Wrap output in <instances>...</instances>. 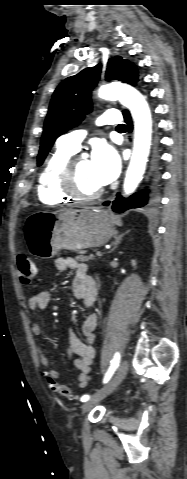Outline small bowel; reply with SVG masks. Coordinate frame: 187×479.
<instances>
[{
    "label": "small bowel",
    "mask_w": 187,
    "mask_h": 479,
    "mask_svg": "<svg viewBox=\"0 0 187 479\" xmlns=\"http://www.w3.org/2000/svg\"><path fill=\"white\" fill-rule=\"evenodd\" d=\"M54 265L58 271L67 269L75 270L76 275L73 282V293L76 298L82 301L84 308L90 309L96 300L97 285L94 277L89 273L88 266L71 257H59L55 260ZM50 300L51 295L48 291H40L30 299L29 307L33 311H41L47 308ZM98 321V313L91 312L87 315L82 324V332L86 338L85 341L81 340L72 329L68 332L65 354L68 359H72L73 355H78V358L73 360V365L78 371L76 384L79 388L87 387L92 378L91 366L96 355L94 330ZM31 332L34 336L41 334V323L38 319L32 322ZM35 350L41 364L46 369L45 375L47 378L57 380L59 373L52 367L50 361L45 356L44 349L40 343L35 344Z\"/></svg>",
    "instance_id": "c3829d8e"
}]
</instances>
